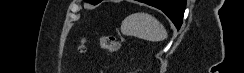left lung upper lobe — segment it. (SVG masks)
<instances>
[{
	"instance_id": "obj_1",
	"label": "left lung upper lobe",
	"mask_w": 244,
	"mask_h": 73,
	"mask_svg": "<svg viewBox=\"0 0 244 73\" xmlns=\"http://www.w3.org/2000/svg\"><path fill=\"white\" fill-rule=\"evenodd\" d=\"M85 1L91 2L92 4H98L101 2L100 0H85Z\"/></svg>"
}]
</instances>
